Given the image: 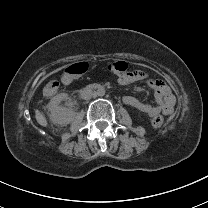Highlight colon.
<instances>
[{
    "label": "colon",
    "mask_w": 208,
    "mask_h": 208,
    "mask_svg": "<svg viewBox=\"0 0 208 208\" xmlns=\"http://www.w3.org/2000/svg\"><path fill=\"white\" fill-rule=\"evenodd\" d=\"M127 69H128V64L122 60L112 61L108 65V70L111 73L120 76L121 78L126 76ZM82 73H83V66L81 64H70L65 68L64 74L62 75L61 79L65 82H68L73 78H75L77 75H81ZM47 88L49 90H52L54 88V85L49 84ZM151 124L152 127L159 129L163 127L164 119L162 116H155L154 118H152Z\"/></svg>",
    "instance_id": "1"
}]
</instances>
